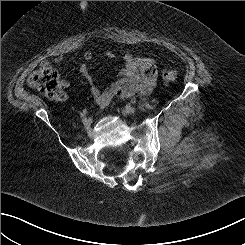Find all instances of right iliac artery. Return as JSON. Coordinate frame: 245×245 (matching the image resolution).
<instances>
[{
  "mask_svg": "<svg viewBox=\"0 0 245 245\" xmlns=\"http://www.w3.org/2000/svg\"><path fill=\"white\" fill-rule=\"evenodd\" d=\"M86 114H87V110L84 109V110L80 113V116H81V117H84Z\"/></svg>",
  "mask_w": 245,
  "mask_h": 245,
  "instance_id": "right-iliac-artery-1",
  "label": "right iliac artery"
}]
</instances>
